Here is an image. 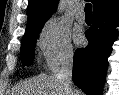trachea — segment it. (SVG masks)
<instances>
[{
    "label": "trachea",
    "mask_w": 119,
    "mask_h": 95,
    "mask_svg": "<svg viewBox=\"0 0 119 95\" xmlns=\"http://www.w3.org/2000/svg\"><path fill=\"white\" fill-rule=\"evenodd\" d=\"M85 14L86 16H92V5L90 3L85 5Z\"/></svg>",
    "instance_id": "obj_1"
}]
</instances>
